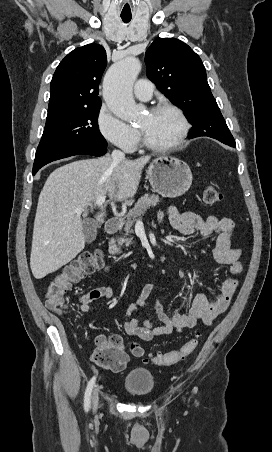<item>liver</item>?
<instances>
[{"mask_svg": "<svg viewBox=\"0 0 272 452\" xmlns=\"http://www.w3.org/2000/svg\"><path fill=\"white\" fill-rule=\"evenodd\" d=\"M151 156L114 163L112 157L83 159L63 165L47 178L38 199L30 267L44 278L74 259L85 247L83 221L87 207L101 195L114 201L133 197ZM83 207L82 212L76 208ZM105 213L96 220L104 221Z\"/></svg>", "mask_w": 272, "mask_h": 452, "instance_id": "6515ba94", "label": "liver"}]
</instances>
